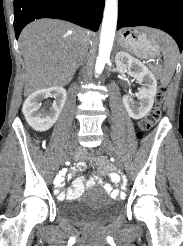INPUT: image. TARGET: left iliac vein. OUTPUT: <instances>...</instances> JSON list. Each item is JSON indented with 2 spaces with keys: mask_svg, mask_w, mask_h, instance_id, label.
Here are the masks:
<instances>
[{
  "mask_svg": "<svg viewBox=\"0 0 183 246\" xmlns=\"http://www.w3.org/2000/svg\"><path fill=\"white\" fill-rule=\"evenodd\" d=\"M101 148L110 156H112L116 162V164L121 168L122 167V159L118 152V150L114 147L111 141L107 137H103V142Z\"/></svg>",
  "mask_w": 183,
  "mask_h": 246,
  "instance_id": "4c4485c4",
  "label": "left iliac vein"
}]
</instances>
